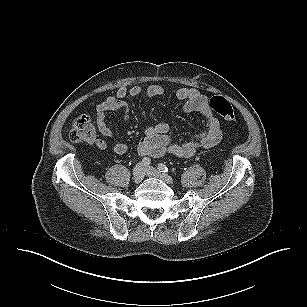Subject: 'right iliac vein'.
Here are the masks:
<instances>
[{"label": "right iliac vein", "instance_id": "right-iliac-vein-1", "mask_svg": "<svg viewBox=\"0 0 307 307\" xmlns=\"http://www.w3.org/2000/svg\"><path fill=\"white\" fill-rule=\"evenodd\" d=\"M145 175V168L142 163H138L133 169V178L136 183H140Z\"/></svg>", "mask_w": 307, "mask_h": 307}]
</instances>
